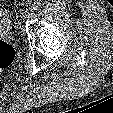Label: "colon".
I'll return each mask as SVG.
<instances>
[{
    "label": "colon",
    "mask_w": 113,
    "mask_h": 113,
    "mask_svg": "<svg viewBox=\"0 0 113 113\" xmlns=\"http://www.w3.org/2000/svg\"><path fill=\"white\" fill-rule=\"evenodd\" d=\"M15 58V51L11 45L0 40V71L10 67Z\"/></svg>",
    "instance_id": "5ec220e1"
}]
</instances>
